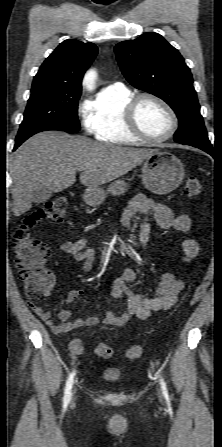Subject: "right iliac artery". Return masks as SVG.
<instances>
[{
  "label": "right iliac artery",
  "mask_w": 222,
  "mask_h": 447,
  "mask_svg": "<svg viewBox=\"0 0 222 447\" xmlns=\"http://www.w3.org/2000/svg\"><path fill=\"white\" fill-rule=\"evenodd\" d=\"M74 376H75V371H73L69 375L68 380L66 382L64 398H63L64 407H66L68 405V403L70 402V399H71V390H72V386H73Z\"/></svg>",
  "instance_id": "obj_1"
}]
</instances>
